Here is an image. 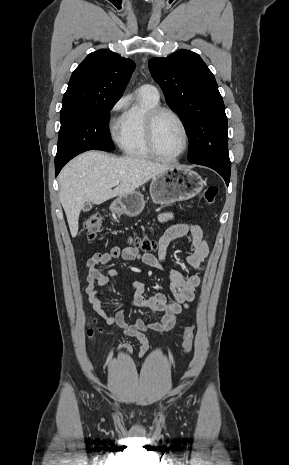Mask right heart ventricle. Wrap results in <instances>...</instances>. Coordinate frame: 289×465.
Returning <instances> with one entry per match:
<instances>
[{"label":"right heart ventricle","instance_id":"e07e8e85","mask_svg":"<svg viewBox=\"0 0 289 465\" xmlns=\"http://www.w3.org/2000/svg\"><path fill=\"white\" fill-rule=\"evenodd\" d=\"M158 104L159 98L140 89L137 100L127 106L120 120L117 136V143L126 155L140 159L154 157L147 146L145 121L148 112Z\"/></svg>","mask_w":289,"mask_h":465}]
</instances>
